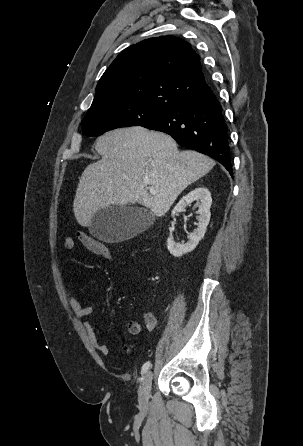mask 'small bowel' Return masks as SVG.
Returning a JSON list of instances; mask_svg holds the SVG:
<instances>
[{
  "label": "small bowel",
  "instance_id": "small-bowel-1",
  "mask_svg": "<svg viewBox=\"0 0 303 446\" xmlns=\"http://www.w3.org/2000/svg\"><path fill=\"white\" fill-rule=\"evenodd\" d=\"M77 238L88 251H90L95 255L97 254L98 240L92 238L90 235H88L85 231L82 230L77 232ZM74 245H75L74 238L72 236H67L64 240L65 249L72 250L74 248ZM68 300L71 309L78 318H83L88 315H91L95 311L94 305L84 306L70 292H68ZM156 325H157V320L155 315L151 311H147L144 314L143 321L137 319H131L128 322L127 328L128 332L131 335H138L139 333H141L143 328L147 329L148 331H152L155 329ZM86 330L92 345L102 354H108L109 352L108 345L98 341L93 325L87 323Z\"/></svg>",
  "mask_w": 303,
  "mask_h": 446
}]
</instances>
